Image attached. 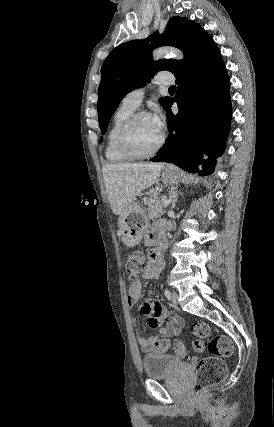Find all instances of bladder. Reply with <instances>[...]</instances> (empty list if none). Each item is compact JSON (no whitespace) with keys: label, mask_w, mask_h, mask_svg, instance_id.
I'll use <instances>...</instances> for the list:
<instances>
[{"label":"bladder","mask_w":274,"mask_h":427,"mask_svg":"<svg viewBox=\"0 0 274 427\" xmlns=\"http://www.w3.org/2000/svg\"><path fill=\"white\" fill-rule=\"evenodd\" d=\"M144 373L148 379L170 376L183 365L172 354H146L142 357Z\"/></svg>","instance_id":"obj_1"}]
</instances>
